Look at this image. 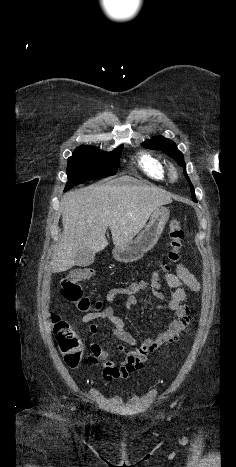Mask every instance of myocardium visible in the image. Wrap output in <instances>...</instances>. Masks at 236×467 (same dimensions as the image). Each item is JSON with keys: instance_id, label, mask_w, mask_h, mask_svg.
Returning a JSON list of instances; mask_svg holds the SVG:
<instances>
[{"instance_id": "obj_1", "label": "myocardium", "mask_w": 236, "mask_h": 467, "mask_svg": "<svg viewBox=\"0 0 236 467\" xmlns=\"http://www.w3.org/2000/svg\"><path fill=\"white\" fill-rule=\"evenodd\" d=\"M170 175L172 178H177L178 172L175 167L170 168Z\"/></svg>"}]
</instances>
